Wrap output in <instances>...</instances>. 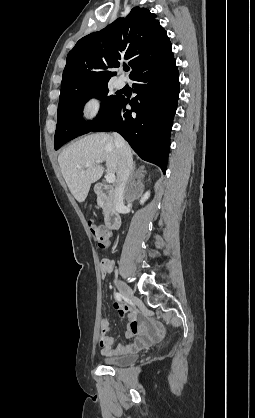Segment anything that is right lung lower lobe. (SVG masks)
<instances>
[{
  "instance_id": "right-lung-lower-lobe-1",
  "label": "right lung lower lobe",
  "mask_w": 255,
  "mask_h": 418,
  "mask_svg": "<svg viewBox=\"0 0 255 418\" xmlns=\"http://www.w3.org/2000/svg\"><path fill=\"white\" fill-rule=\"evenodd\" d=\"M171 56L132 77L131 101L120 96L111 114L90 132L117 131L144 160L165 173L170 131L179 96V73ZM131 110L126 109V105Z\"/></svg>"
}]
</instances>
